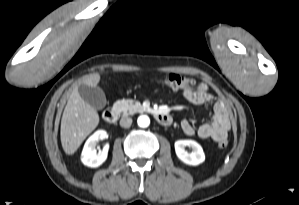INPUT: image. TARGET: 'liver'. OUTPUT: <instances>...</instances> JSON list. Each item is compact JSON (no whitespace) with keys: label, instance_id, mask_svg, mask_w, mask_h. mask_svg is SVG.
Returning <instances> with one entry per match:
<instances>
[{"label":"liver","instance_id":"1","mask_svg":"<svg viewBox=\"0 0 299 205\" xmlns=\"http://www.w3.org/2000/svg\"><path fill=\"white\" fill-rule=\"evenodd\" d=\"M99 81L100 75L94 73L86 75L82 83L96 87ZM98 124L99 115L96 109L82 99L76 86L69 96L61 119L60 137L64 152L68 155L74 154Z\"/></svg>","mask_w":299,"mask_h":205}]
</instances>
